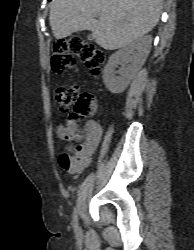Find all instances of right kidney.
<instances>
[{
	"label": "right kidney",
	"mask_w": 194,
	"mask_h": 250,
	"mask_svg": "<svg viewBox=\"0 0 194 250\" xmlns=\"http://www.w3.org/2000/svg\"><path fill=\"white\" fill-rule=\"evenodd\" d=\"M151 43L150 35L139 37L111 55L103 71V82L111 93L119 94L127 88L146 61ZM118 65L122 67L119 69V76H116L115 69Z\"/></svg>",
	"instance_id": "1"
}]
</instances>
